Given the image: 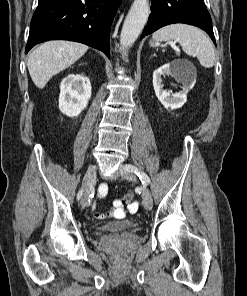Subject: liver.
Here are the masks:
<instances>
[{"mask_svg": "<svg viewBox=\"0 0 247 296\" xmlns=\"http://www.w3.org/2000/svg\"><path fill=\"white\" fill-rule=\"evenodd\" d=\"M88 46L72 41H48L34 49L28 57L27 66L32 81L39 89L57 73L82 57Z\"/></svg>", "mask_w": 247, "mask_h": 296, "instance_id": "liver-1", "label": "liver"}]
</instances>
